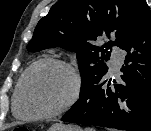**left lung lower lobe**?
<instances>
[{
	"instance_id": "left-lung-lower-lobe-1",
	"label": "left lung lower lobe",
	"mask_w": 151,
	"mask_h": 131,
	"mask_svg": "<svg viewBox=\"0 0 151 131\" xmlns=\"http://www.w3.org/2000/svg\"><path fill=\"white\" fill-rule=\"evenodd\" d=\"M119 82L106 76L92 82L62 121L125 131H150L151 11L142 3L128 40ZM108 83V84H106Z\"/></svg>"
}]
</instances>
